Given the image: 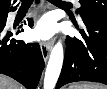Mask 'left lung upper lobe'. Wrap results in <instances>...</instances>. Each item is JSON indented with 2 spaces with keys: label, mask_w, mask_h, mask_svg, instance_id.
Here are the masks:
<instances>
[{
  "label": "left lung upper lobe",
  "mask_w": 107,
  "mask_h": 89,
  "mask_svg": "<svg viewBox=\"0 0 107 89\" xmlns=\"http://www.w3.org/2000/svg\"><path fill=\"white\" fill-rule=\"evenodd\" d=\"M81 17L98 15L107 17V0H79Z\"/></svg>",
  "instance_id": "1"
}]
</instances>
